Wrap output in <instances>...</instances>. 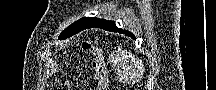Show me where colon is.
I'll return each instance as SVG.
<instances>
[{"instance_id": "colon-1", "label": "colon", "mask_w": 216, "mask_h": 90, "mask_svg": "<svg viewBox=\"0 0 216 90\" xmlns=\"http://www.w3.org/2000/svg\"><path fill=\"white\" fill-rule=\"evenodd\" d=\"M83 46L85 47V49L91 52L96 89L107 90L109 86V79L101 53L97 49L91 47L88 43H84Z\"/></svg>"}]
</instances>
